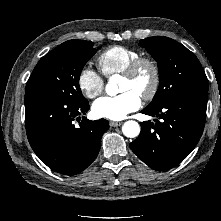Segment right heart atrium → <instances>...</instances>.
I'll return each instance as SVG.
<instances>
[{"mask_svg": "<svg viewBox=\"0 0 221 221\" xmlns=\"http://www.w3.org/2000/svg\"><path fill=\"white\" fill-rule=\"evenodd\" d=\"M79 90L89 99L98 97L105 88L103 76L90 66L83 67L77 79Z\"/></svg>", "mask_w": 221, "mask_h": 221, "instance_id": "obj_1", "label": "right heart atrium"}]
</instances>
